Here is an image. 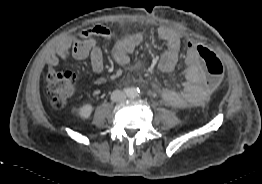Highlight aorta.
<instances>
[{
	"mask_svg": "<svg viewBox=\"0 0 262 184\" xmlns=\"http://www.w3.org/2000/svg\"><path fill=\"white\" fill-rule=\"evenodd\" d=\"M137 95V92L136 90L133 91V96H136Z\"/></svg>",
	"mask_w": 262,
	"mask_h": 184,
	"instance_id": "obj_1",
	"label": "aorta"
}]
</instances>
